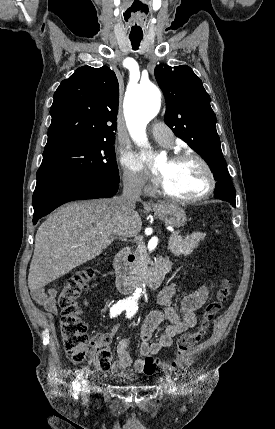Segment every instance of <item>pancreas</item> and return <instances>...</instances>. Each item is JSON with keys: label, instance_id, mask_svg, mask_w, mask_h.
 I'll use <instances>...</instances> for the list:
<instances>
[{"label": "pancreas", "instance_id": "cf45deb5", "mask_svg": "<svg viewBox=\"0 0 275 429\" xmlns=\"http://www.w3.org/2000/svg\"><path fill=\"white\" fill-rule=\"evenodd\" d=\"M205 236L206 234L202 232H193L185 238H182L181 236H173L174 240L172 242L174 244L169 247V250L175 256L189 255L193 252V249L199 245L200 241L204 240ZM136 257L138 262L133 273H137L140 270L145 269L149 263L144 246H141L137 250Z\"/></svg>", "mask_w": 275, "mask_h": 429}]
</instances>
